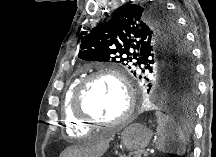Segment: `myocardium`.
I'll list each match as a JSON object with an SVG mask.
<instances>
[{"instance_id": "1", "label": "myocardium", "mask_w": 216, "mask_h": 157, "mask_svg": "<svg viewBox=\"0 0 216 157\" xmlns=\"http://www.w3.org/2000/svg\"><path fill=\"white\" fill-rule=\"evenodd\" d=\"M100 77H108L116 82L121 86V88L124 91L127 106L123 114L115 121L113 122H105L102 120H99L92 116L84 106V100L87 92V88L89 84ZM72 112L73 115L86 125H98V126H106V127H120L123 125H126L132 118L135 110V100H134V94L131 90L130 85L128 84L126 78L119 73L118 71L106 68V69H100L88 76H85L81 78L75 87L73 97H72Z\"/></svg>"}]
</instances>
